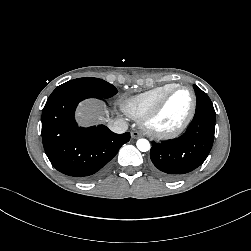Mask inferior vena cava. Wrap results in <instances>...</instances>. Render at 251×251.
Returning <instances> with one entry per match:
<instances>
[{"instance_id":"obj_1","label":"inferior vena cava","mask_w":251,"mask_h":251,"mask_svg":"<svg viewBox=\"0 0 251 251\" xmlns=\"http://www.w3.org/2000/svg\"><path fill=\"white\" fill-rule=\"evenodd\" d=\"M108 127L110 128L111 131L114 133L122 134L125 133L128 129V124L122 119H116L112 120L111 122L108 123Z\"/></svg>"}]
</instances>
